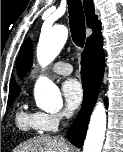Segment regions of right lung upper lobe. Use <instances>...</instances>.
<instances>
[{
    "instance_id": "right-lung-upper-lobe-1",
    "label": "right lung upper lobe",
    "mask_w": 123,
    "mask_h": 152,
    "mask_svg": "<svg viewBox=\"0 0 123 152\" xmlns=\"http://www.w3.org/2000/svg\"><path fill=\"white\" fill-rule=\"evenodd\" d=\"M84 3V11L87 17V26L93 29L92 35L87 38L86 44L90 43L96 37L101 36V24L97 20V17L94 14V5L92 0H83ZM20 91L19 85L15 82V79H12L9 89V95L14 94Z\"/></svg>"
}]
</instances>
